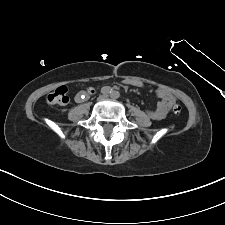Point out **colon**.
Wrapping results in <instances>:
<instances>
[{
	"label": "colon",
	"mask_w": 225,
	"mask_h": 225,
	"mask_svg": "<svg viewBox=\"0 0 225 225\" xmlns=\"http://www.w3.org/2000/svg\"><path fill=\"white\" fill-rule=\"evenodd\" d=\"M67 92L68 91L66 86H59L48 95L47 100L50 104L65 105L69 101ZM181 111L182 108L180 105L176 104L173 106V112L175 114H179L181 113Z\"/></svg>",
	"instance_id": "1"
}]
</instances>
